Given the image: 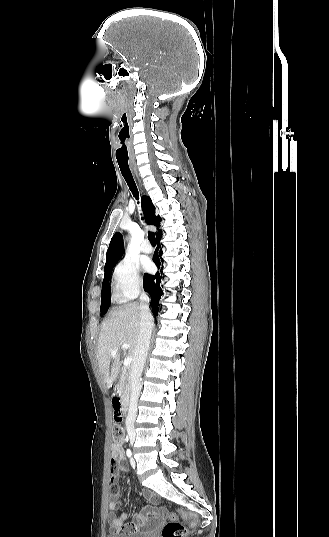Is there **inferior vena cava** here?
Returning <instances> with one entry per match:
<instances>
[{"label":"inferior vena cava","instance_id":"inferior-vena-cava-1","mask_svg":"<svg viewBox=\"0 0 329 537\" xmlns=\"http://www.w3.org/2000/svg\"><path fill=\"white\" fill-rule=\"evenodd\" d=\"M150 298L143 291L140 296V326L137 337V346L131 366V399L129 404L128 416L126 418V428L128 432L135 433V420L137 416V405L140 391L142 389L141 374L146 362L150 339L153 328V317L149 310Z\"/></svg>","mask_w":329,"mask_h":537}]
</instances>
